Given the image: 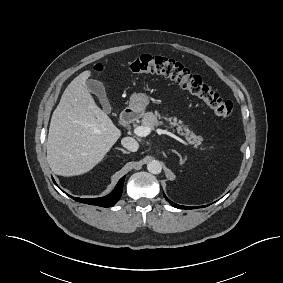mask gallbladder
Here are the masks:
<instances>
[{"mask_svg": "<svg viewBox=\"0 0 283 283\" xmlns=\"http://www.w3.org/2000/svg\"><path fill=\"white\" fill-rule=\"evenodd\" d=\"M86 85L88 90L98 97L101 105L103 106L104 112L110 113L111 106L103 83L95 79H88L86 81Z\"/></svg>", "mask_w": 283, "mask_h": 283, "instance_id": "obj_1", "label": "gallbladder"}]
</instances>
